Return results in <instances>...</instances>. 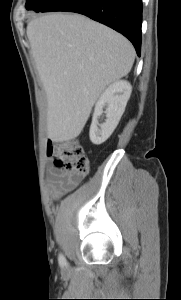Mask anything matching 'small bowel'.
<instances>
[{"mask_svg":"<svg viewBox=\"0 0 181 300\" xmlns=\"http://www.w3.org/2000/svg\"><path fill=\"white\" fill-rule=\"evenodd\" d=\"M80 178H73L68 172L58 167L49 170L48 186L55 196H61L72 190L79 183Z\"/></svg>","mask_w":181,"mask_h":300,"instance_id":"small-bowel-1","label":"small bowel"}]
</instances>
